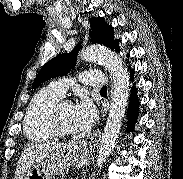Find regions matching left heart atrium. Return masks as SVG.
Returning a JSON list of instances; mask_svg holds the SVG:
<instances>
[{
    "instance_id": "left-heart-atrium-1",
    "label": "left heart atrium",
    "mask_w": 183,
    "mask_h": 179,
    "mask_svg": "<svg viewBox=\"0 0 183 179\" xmlns=\"http://www.w3.org/2000/svg\"><path fill=\"white\" fill-rule=\"evenodd\" d=\"M96 109L88 100L83 99L74 106V118L77 130L88 128L96 119Z\"/></svg>"
}]
</instances>
